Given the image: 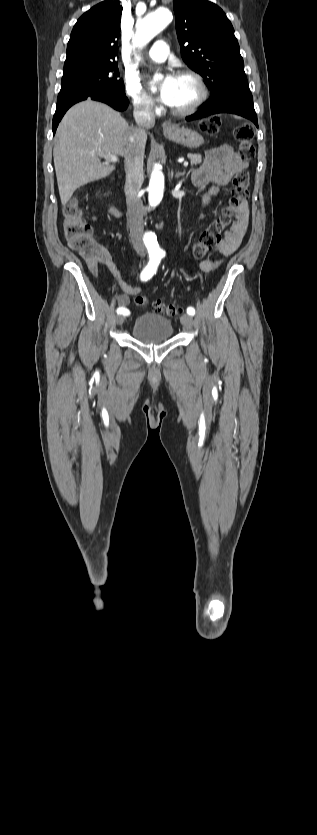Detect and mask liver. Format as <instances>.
Here are the masks:
<instances>
[{
    "mask_svg": "<svg viewBox=\"0 0 317 835\" xmlns=\"http://www.w3.org/2000/svg\"><path fill=\"white\" fill-rule=\"evenodd\" d=\"M130 127L121 114L90 99L77 103L64 115L56 131L53 150L61 204L66 205L82 185L110 175L115 166L106 158L111 153L125 157Z\"/></svg>",
    "mask_w": 317,
    "mask_h": 835,
    "instance_id": "6515ba94",
    "label": "liver"
}]
</instances>
